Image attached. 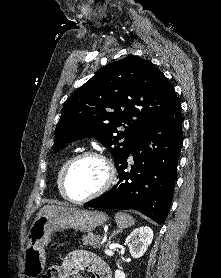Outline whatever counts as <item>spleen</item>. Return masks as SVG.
<instances>
[{
	"mask_svg": "<svg viewBox=\"0 0 221 278\" xmlns=\"http://www.w3.org/2000/svg\"><path fill=\"white\" fill-rule=\"evenodd\" d=\"M115 221L120 229L128 228L135 223V220L132 216L122 212L115 214Z\"/></svg>",
	"mask_w": 221,
	"mask_h": 278,
	"instance_id": "obj_1",
	"label": "spleen"
}]
</instances>
